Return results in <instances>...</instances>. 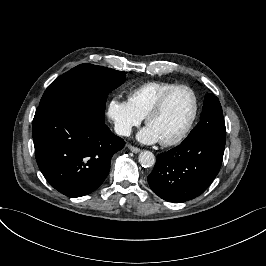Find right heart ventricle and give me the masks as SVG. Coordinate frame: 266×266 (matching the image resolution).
<instances>
[{
	"instance_id": "obj_1",
	"label": "right heart ventricle",
	"mask_w": 266,
	"mask_h": 266,
	"mask_svg": "<svg viewBox=\"0 0 266 266\" xmlns=\"http://www.w3.org/2000/svg\"><path fill=\"white\" fill-rule=\"evenodd\" d=\"M176 85L168 81H150L133 89L129 94V101L135 110L145 117L149 109L167 89Z\"/></svg>"
}]
</instances>
